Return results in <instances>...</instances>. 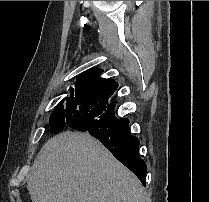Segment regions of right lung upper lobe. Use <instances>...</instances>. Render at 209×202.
<instances>
[{
	"label": "right lung upper lobe",
	"mask_w": 209,
	"mask_h": 202,
	"mask_svg": "<svg viewBox=\"0 0 209 202\" xmlns=\"http://www.w3.org/2000/svg\"><path fill=\"white\" fill-rule=\"evenodd\" d=\"M102 71H103V70H102V69H99V68H91V69H89V70L83 72V73L80 74V75H84V76L89 75V76H91L93 79H95V78H100V74L102 73Z\"/></svg>",
	"instance_id": "obj_1"
}]
</instances>
